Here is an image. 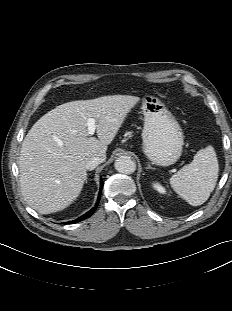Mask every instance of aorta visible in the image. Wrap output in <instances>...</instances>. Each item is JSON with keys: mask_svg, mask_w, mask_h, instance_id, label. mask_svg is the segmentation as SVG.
Instances as JSON below:
<instances>
[{"mask_svg": "<svg viewBox=\"0 0 232 311\" xmlns=\"http://www.w3.org/2000/svg\"><path fill=\"white\" fill-rule=\"evenodd\" d=\"M114 166L119 173L123 174H131L136 170V164L129 156H120L115 160Z\"/></svg>", "mask_w": 232, "mask_h": 311, "instance_id": "obj_1", "label": "aorta"}]
</instances>
